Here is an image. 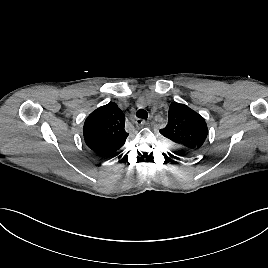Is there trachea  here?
Listing matches in <instances>:
<instances>
[{
	"label": "trachea",
	"mask_w": 268,
	"mask_h": 268,
	"mask_svg": "<svg viewBox=\"0 0 268 268\" xmlns=\"http://www.w3.org/2000/svg\"><path fill=\"white\" fill-rule=\"evenodd\" d=\"M136 116H137L138 118H141V119H147V117H148V113H147V111L144 110V109H139V110L137 111V113H136Z\"/></svg>",
	"instance_id": "obj_1"
}]
</instances>
